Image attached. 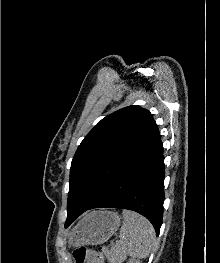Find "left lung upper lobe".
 Instances as JSON below:
<instances>
[{
	"instance_id": "5c2ea615",
	"label": "left lung upper lobe",
	"mask_w": 220,
	"mask_h": 263,
	"mask_svg": "<svg viewBox=\"0 0 220 263\" xmlns=\"http://www.w3.org/2000/svg\"><path fill=\"white\" fill-rule=\"evenodd\" d=\"M158 135L152 114L139 106L122 108L102 119L72 160L67 212L89 207Z\"/></svg>"
}]
</instances>
